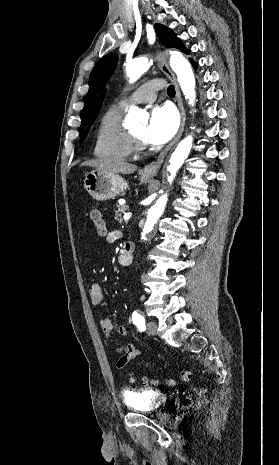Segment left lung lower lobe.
<instances>
[{"label": "left lung lower lobe", "instance_id": "obj_1", "mask_svg": "<svg viewBox=\"0 0 279 465\" xmlns=\"http://www.w3.org/2000/svg\"><path fill=\"white\" fill-rule=\"evenodd\" d=\"M191 63L195 68L197 67V64L193 60H191Z\"/></svg>", "mask_w": 279, "mask_h": 465}]
</instances>
